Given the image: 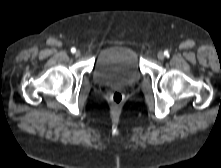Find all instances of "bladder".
Returning <instances> with one entry per match:
<instances>
[{
  "instance_id": "31cf9c89",
  "label": "bladder",
  "mask_w": 221,
  "mask_h": 168,
  "mask_svg": "<svg viewBox=\"0 0 221 168\" xmlns=\"http://www.w3.org/2000/svg\"><path fill=\"white\" fill-rule=\"evenodd\" d=\"M141 77L138 53L129 46L116 45L104 49L93 69V78L101 85H129Z\"/></svg>"
}]
</instances>
